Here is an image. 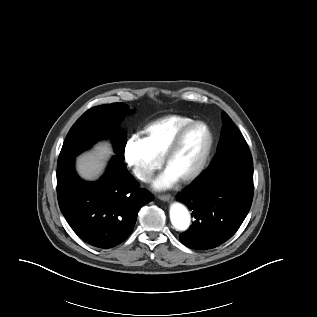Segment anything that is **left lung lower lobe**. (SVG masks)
Instances as JSON below:
<instances>
[{"mask_svg": "<svg viewBox=\"0 0 317 317\" xmlns=\"http://www.w3.org/2000/svg\"><path fill=\"white\" fill-rule=\"evenodd\" d=\"M253 193V165L231 162L217 171L208 168L177 194L195 218L180 241L198 250L224 243L247 216Z\"/></svg>", "mask_w": 317, "mask_h": 317, "instance_id": "left-lung-lower-lobe-1", "label": "left lung lower lobe"}]
</instances>
